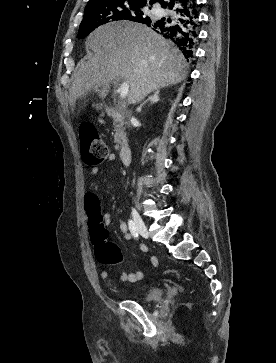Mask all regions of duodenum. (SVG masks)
I'll return each mask as SVG.
<instances>
[{
    "label": "duodenum",
    "mask_w": 276,
    "mask_h": 363,
    "mask_svg": "<svg viewBox=\"0 0 276 363\" xmlns=\"http://www.w3.org/2000/svg\"><path fill=\"white\" fill-rule=\"evenodd\" d=\"M104 111L108 117L123 120L125 118V113L115 107H105ZM131 157V147L127 142H124L121 146L119 152V159L123 165H126L130 161Z\"/></svg>",
    "instance_id": "obj_1"
}]
</instances>
